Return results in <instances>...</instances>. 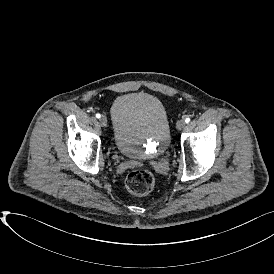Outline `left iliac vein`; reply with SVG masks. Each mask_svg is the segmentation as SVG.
Segmentation results:
<instances>
[{
  "label": "left iliac vein",
  "mask_w": 274,
  "mask_h": 274,
  "mask_svg": "<svg viewBox=\"0 0 274 274\" xmlns=\"http://www.w3.org/2000/svg\"><path fill=\"white\" fill-rule=\"evenodd\" d=\"M185 125H186V123H185L184 120H179V121H177V123H176V128H177L178 130H182V129L185 127Z\"/></svg>",
  "instance_id": "left-iliac-vein-1"
}]
</instances>
